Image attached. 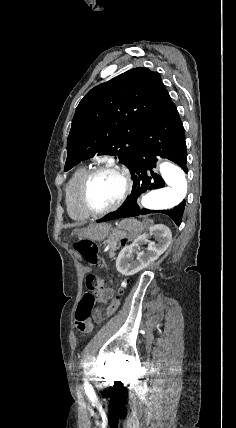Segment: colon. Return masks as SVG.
Listing matches in <instances>:
<instances>
[{"label":"colon","instance_id":"1","mask_svg":"<svg viewBox=\"0 0 236 428\" xmlns=\"http://www.w3.org/2000/svg\"><path fill=\"white\" fill-rule=\"evenodd\" d=\"M126 242L127 239L125 238L121 240L122 245H125ZM74 248L89 265L100 268L106 267L104 258L99 255L98 243L95 241L80 239L75 242ZM127 283V280H123L121 282L119 294L114 297L110 305L107 307L104 318L110 317L118 309L121 293L127 286ZM85 286L88 292L81 299L75 314L76 325L80 330H84L89 322L96 302L95 293L103 288V280L94 275H87L85 278Z\"/></svg>","mask_w":236,"mask_h":428}]
</instances>
